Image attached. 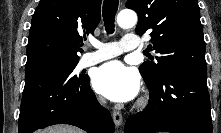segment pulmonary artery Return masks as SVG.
I'll use <instances>...</instances> for the list:
<instances>
[{"instance_id": "obj_1", "label": "pulmonary artery", "mask_w": 221, "mask_h": 133, "mask_svg": "<svg viewBox=\"0 0 221 133\" xmlns=\"http://www.w3.org/2000/svg\"><path fill=\"white\" fill-rule=\"evenodd\" d=\"M91 45L95 50L83 54L78 63L80 68L95 65L104 60L116 57L123 52L135 51L139 49L140 42L136 35L128 33L120 43L115 41L108 43L91 41Z\"/></svg>"}]
</instances>
